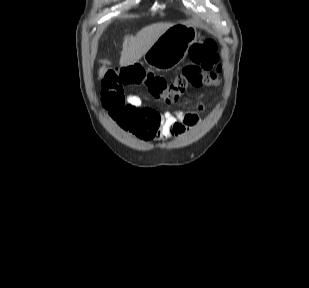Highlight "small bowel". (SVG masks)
<instances>
[{"label": "small bowel", "mask_w": 309, "mask_h": 288, "mask_svg": "<svg viewBox=\"0 0 309 288\" xmlns=\"http://www.w3.org/2000/svg\"><path fill=\"white\" fill-rule=\"evenodd\" d=\"M130 112L117 119L119 126L142 142L169 139L185 133L189 128L201 122L204 106L198 103L193 112H160L154 108L144 107L136 94L128 96Z\"/></svg>", "instance_id": "1"}]
</instances>
